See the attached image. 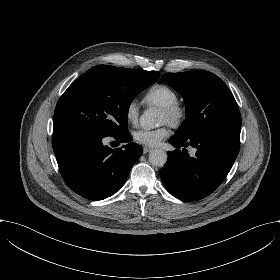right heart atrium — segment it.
<instances>
[{"instance_id":"d8ad5b80","label":"right heart atrium","mask_w":280,"mask_h":280,"mask_svg":"<svg viewBox=\"0 0 280 280\" xmlns=\"http://www.w3.org/2000/svg\"><path fill=\"white\" fill-rule=\"evenodd\" d=\"M125 118L130 123H136L138 119L139 109L135 100L129 101L125 106Z\"/></svg>"}]
</instances>
